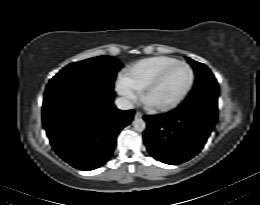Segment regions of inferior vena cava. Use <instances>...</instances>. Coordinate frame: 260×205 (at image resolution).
Wrapping results in <instances>:
<instances>
[{
    "label": "inferior vena cava",
    "mask_w": 260,
    "mask_h": 205,
    "mask_svg": "<svg viewBox=\"0 0 260 205\" xmlns=\"http://www.w3.org/2000/svg\"><path fill=\"white\" fill-rule=\"evenodd\" d=\"M115 105L118 109L120 110H129V109H133V103L125 98V97H119L115 100Z\"/></svg>",
    "instance_id": "602c4592"
}]
</instances>
